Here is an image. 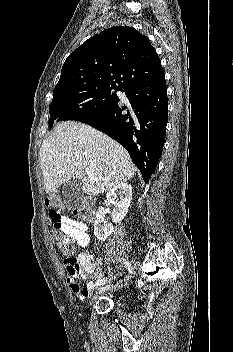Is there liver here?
Instances as JSON below:
<instances>
[{
    "label": "liver",
    "mask_w": 233,
    "mask_h": 352,
    "mask_svg": "<svg viewBox=\"0 0 233 352\" xmlns=\"http://www.w3.org/2000/svg\"><path fill=\"white\" fill-rule=\"evenodd\" d=\"M40 167L47 194L62 183L82 180V191L98 195L133 178L136 168L128 152L119 143L89 125L62 122L40 148ZM91 167L92 175L84 169Z\"/></svg>",
    "instance_id": "liver-1"
}]
</instances>
